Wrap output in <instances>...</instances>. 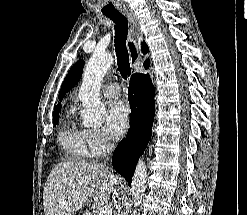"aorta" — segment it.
<instances>
[{
    "label": "aorta",
    "instance_id": "762f6f07",
    "mask_svg": "<svg viewBox=\"0 0 247 215\" xmlns=\"http://www.w3.org/2000/svg\"><path fill=\"white\" fill-rule=\"evenodd\" d=\"M113 64V57L108 53L95 52L86 65L82 85L79 90V100L82 103L83 124L87 127L102 125L104 105L100 100V89L103 78ZM147 168L145 162L139 159L131 184L134 206L140 205L146 189Z\"/></svg>",
    "mask_w": 247,
    "mask_h": 215
}]
</instances>
